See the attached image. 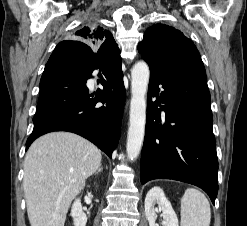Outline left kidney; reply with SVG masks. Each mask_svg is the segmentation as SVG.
<instances>
[{"label": "left kidney", "instance_id": "5707ae66", "mask_svg": "<svg viewBox=\"0 0 247 226\" xmlns=\"http://www.w3.org/2000/svg\"><path fill=\"white\" fill-rule=\"evenodd\" d=\"M159 205V210L162 211L164 226H179L178 218L172 208L170 201L166 198L164 191L160 187L150 189L145 197V214L150 226L156 225V213L158 209L154 208L155 204Z\"/></svg>", "mask_w": 247, "mask_h": 226}]
</instances>
